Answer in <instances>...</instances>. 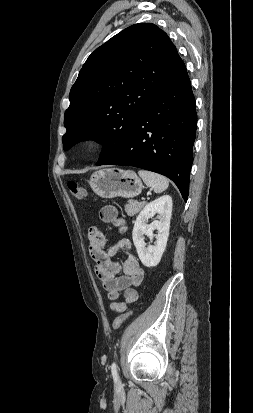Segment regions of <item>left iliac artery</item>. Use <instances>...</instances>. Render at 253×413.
Wrapping results in <instances>:
<instances>
[{"label": "left iliac artery", "mask_w": 253, "mask_h": 413, "mask_svg": "<svg viewBox=\"0 0 253 413\" xmlns=\"http://www.w3.org/2000/svg\"><path fill=\"white\" fill-rule=\"evenodd\" d=\"M111 372H112V376L115 380H118V373H117V366L116 363L113 362L111 365Z\"/></svg>", "instance_id": "obj_1"}]
</instances>
